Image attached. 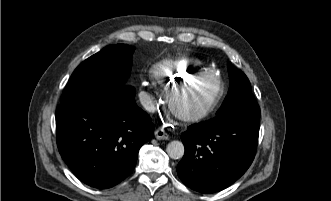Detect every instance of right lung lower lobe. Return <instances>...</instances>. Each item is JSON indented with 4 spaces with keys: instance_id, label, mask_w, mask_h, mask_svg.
Wrapping results in <instances>:
<instances>
[{
    "instance_id": "98d812e1",
    "label": "right lung lower lobe",
    "mask_w": 331,
    "mask_h": 201,
    "mask_svg": "<svg viewBox=\"0 0 331 201\" xmlns=\"http://www.w3.org/2000/svg\"><path fill=\"white\" fill-rule=\"evenodd\" d=\"M56 128L63 160L78 179L99 189L115 186L133 171L140 147L154 132L130 85L98 90L61 104Z\"/></svg>"
}]
</instances>
